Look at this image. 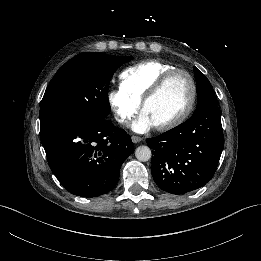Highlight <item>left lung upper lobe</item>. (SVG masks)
<instances>
[{"label":"left lung upper lobe","instance_id":"1","mask_svg":"<svg viewBox=\"0 0 261 261\" xmlns=\"http://www.w3.org/2000/svg\"><path fill=\"white\" fill-rule=\"evenodd\" d=\"M194 73L197 83L196 91L198 95L196 111L201 110L209 105H217V99L209 80L196 67H194Z\"/></svg>","mask_w":261,"mask_h":261}]
</instances>
